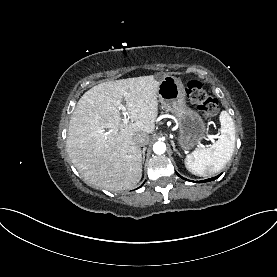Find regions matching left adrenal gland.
<instances>
[{
  "instance_id": "left-adrenal-gland-1",
  "label": "left adrenal gland",
  "mask_w": 277,
  "mask_h": 277,
  "mask_svg": "<svg viewBox=\"0 0 277 277\" xmlns=\"http://www.w3.org/2000/svg\"><path fill=\"white\" fill-rule=\"evenodd\" d=\"M171 144H172V146H173V150L179 155V156H181V154L178 152V150L175 148V144H174V142L173 141H171Z\"/></svg>"
}]
</instances>
